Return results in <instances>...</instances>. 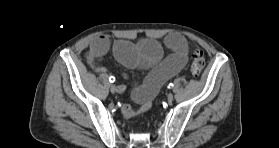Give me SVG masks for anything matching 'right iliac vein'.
<instances>
[{
    "mask_svg": "<svg viewBox=\"0 0 279 148\" xmlns=\"http://www.w3.org/2000/svg\"><path fill=\"white\" fill-rule=\"evenodd\" d=\"M110 91H111L112 93H116V92L118 91V88H117L115 85L111 84V85H110Z\"/></svg>",
    "mask_w": 279,
    "mask_h": 148,
    "instance_id": "right-iliac-vein-1",
    "label": "right iliac vein"
}]
</instances>
